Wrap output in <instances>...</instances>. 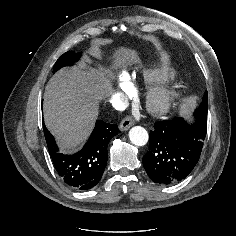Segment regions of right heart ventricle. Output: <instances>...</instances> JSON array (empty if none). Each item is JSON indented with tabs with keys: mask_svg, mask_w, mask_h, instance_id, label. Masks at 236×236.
<instances>
[{
	"mask_svg": "<svg viewBox=\"0 0 236 236\" xmlns=\"http://www.w3.org/2000/svg\"><path fill=\"white\" fill-rule=\"evenodd\" d=\"M127 76L131 82L132 87H135L138 82V74L127 72ZM142 76L146 82H153L170 78L173 76V72L167 69H158V70L147 69L142 71Z\"/></svg>",
	"mask_w": 236,
	"mask_h": 236,
	"instance_id": "1",
	"label": "right heart ventricle"
}]
</instances>
